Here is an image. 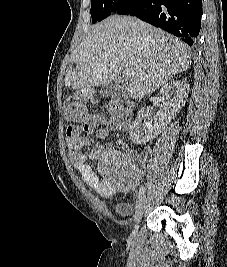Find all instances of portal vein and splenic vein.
Listing matches in <instances>:
<instances>
[{
	"label": "portal vein and splenic vein",
	"mask_w": 227,
	"mask_h": 267,
	"mask_svg": "<svg viewBox=\"0 0 227 267\" xmlns=\"http://www.w3.org/2000/svg\"><path fill=\"white\" fill-rule=\"evenodd\" d=\"M134 71L132 70V69H130V68H125L124 69V75L126 76V77H132V76H134Z\"/></svg>",
	"instance_id": "1"
}]
</instances>
